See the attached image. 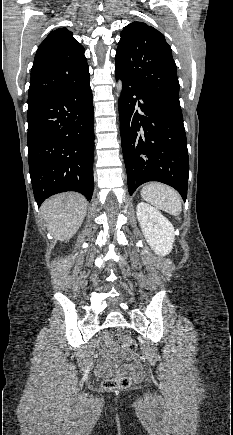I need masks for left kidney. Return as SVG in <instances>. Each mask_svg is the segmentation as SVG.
<instances>
[{
  "label": "left kidney",
  "mask_w": 233,
  "mask_h": 435,
  "mask_svg": "<svg viewBox=\"0 0 233 435\" xmlns=\"http://www.w3.org/2000/svg\"><path fill=\"white\" fill-rule=\"evenodd\" d=\"M142 233L154 252L166 256L172 251L175 231L171 222L156 208L140 202L136 209Z\"/></svg>",
  "instance_id": "1"
}]
</instances>
